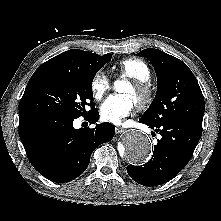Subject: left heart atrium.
Wrapping results in <instances>:
<instances>
[{"mask_svg": "<svg viewBox=\"0 0 221 221\" xmlns=\"http://www.w3.org/2000/svg\"><path fill=\"white\" fill-rule=\"evenodd\" d=\"M133 109L134 102L128 95H111L101 104L100 115L104 121L120 124Z\"/></svg>", "mask_w": 221, "mask_h": 221, "instance_id": "left-heart-atrium-1", "label": "left heart atrium"}]
</instances>
